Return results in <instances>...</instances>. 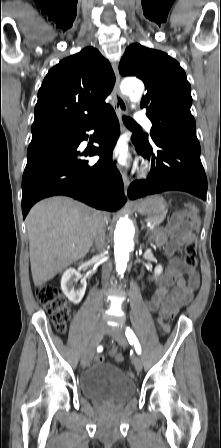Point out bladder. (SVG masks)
I'll list each match as a JSON object with an SVG mask.
<instances>
[{
    "instance_id": "bladder-1",
    "label": "bladder",
    "mask_w": 221,
    "mask_h": 448,
    "mask_svg": "<svg viewBox=\"0 0 221 448\" xmlns=\"http://www.w3.org/2000/svg\"><path fill=\"white\" fill-rule=\"evenodd\" d=\"M79 388L86 399L114 406L126 403L135 394L134 381L110 362H101L84 372Z\"/></svg>"
}]
</instances>
